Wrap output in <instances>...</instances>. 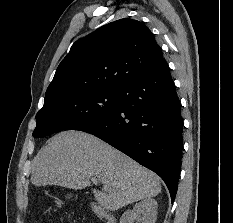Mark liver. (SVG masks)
Listing matches in <instances>:
<instances>
[{
    "instance_id": "obj_1",
    "label": "liver",
    "mask_w": 233,
    "mask_h": 223,
    "mask_svg": "<svg viewBox=\"0 0 233 223\" xmlns=\"http://www.w3.org/2000/svg\"><path fill=\"white\" fill-rule=\"evenodd\" d=\"M33 185H62L70 189L91 187V177H98L105 191L91 187L106 209L115 211L123 205L155 197L161 191L158 175L142 167L99 137L83 131H61L39 149L32 159Z\"/></svg>"
}]
</instances>
